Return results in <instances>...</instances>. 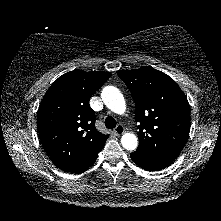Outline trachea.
I'll list each match as a JSON object with an SVG mask.
<instances>
[{
  "mask_svg": "<svg viewBox=\"0 0 221 221\" xmlns=\"http://www.w3.org/2000/svg\"><path fill=\"white\" fill-rule=\"evenodd\" d=\"M105 126L109 129L115 128L116 127V120L111 116L107 117L105 119Z\"/></svg>",
  "mask_w": 221,
  "mask_h": 221,
  "instance_id": "1",
  "label": "trachea"
}]
</instances>
